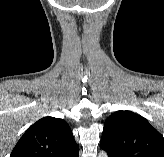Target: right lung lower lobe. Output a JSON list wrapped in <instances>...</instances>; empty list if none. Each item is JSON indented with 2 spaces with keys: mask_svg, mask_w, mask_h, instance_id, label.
<instances>
[{
  "mask_svg": "<svg viewBox=\"0 0 164 157\" xmlns=\"http://www.w3.org/2000/svg\"><path fill=\"white\" fill-rule=\"evenodd\" d=\"M78 150H79V148L73 149L70 152H68L67 154H65L63 157H79Z\"/></svg>",
  "mask_w": 164,
  "mask_h": 157,
  "instance_id": "obj_1",
  "label": "right lung lower lobe"
}]
</instances>
